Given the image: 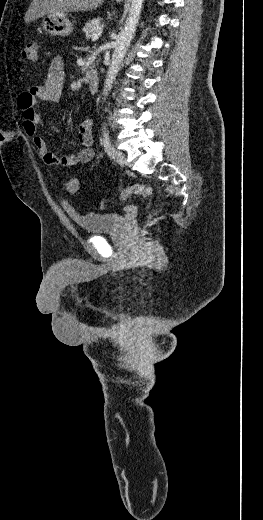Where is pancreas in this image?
I'll list each match as a JSON object with an SVG mask.
<instances>
[{
	"instance_id": "1",
	"label": "pancreas",
	"mask_w": 263,
	"mask_h": 520,
	"mask_svg": "<svg viewBox=\"0 0 263 520\" xmlns=\"http://www.w3.org/2000/svg\"><path fill=\"white\" fill-rule=\"evenodd\" d=\"M101 20L100 18H94L89 20L83 27V32L86 35V38L89 39L92 37L94 33L100 30Z\"/></svg>"
}]
</instances>
